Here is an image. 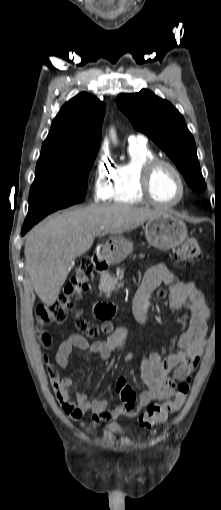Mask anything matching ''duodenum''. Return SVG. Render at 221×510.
Masks as SVG:
<instances>
[{"label":"duodenum","mask_w":221,"mask_h":510,"mask_svg":"<svg viewBox=\"0 0 221 510\" xmlns=\"http://www.w3.org/2000/svg\"><path fill=\"white\" fill-rule=\"evenodd\" d=\"M93 265L98 273H103L107 270L108 262L102 252L94 254ZM112 310V304L97 303L93 306V311L98 317H106L112 312Z\"/></svg>","instance_id":"1"}]
</instances>
